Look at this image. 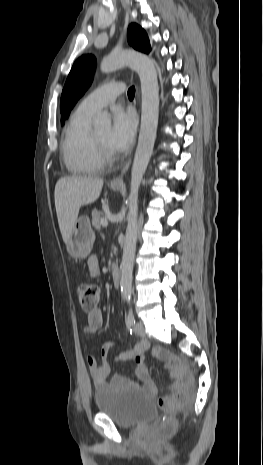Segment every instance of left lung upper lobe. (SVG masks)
<instances>
[{
    "mask_svg": "<svg viewBox=\"0 0 263 465\" xmlns=\"http://www.w3.org/2000/svg\"><path fill=\"white\" fill-rule=\"evenodd\" d=\"M128 42L134 49L143 53L151 51L146 32L135 23L130 24L128 27ZM95 65L96 59L92 55H83L74 63L64 85L60 100L62 124L64 123V119L68 118L71 109L78 99L90 86L93 80Z\"/></svg>",
    "mask_w": 263,
    "mask_h": 465,
    "instance_id": "1",
    "label": "left lung upper lobe"
}]
</instances>
